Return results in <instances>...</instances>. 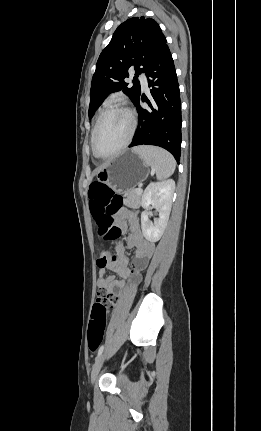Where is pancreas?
I'll return each instance as SVG.
<instances>
[{"label":"pancreas","mask_w":261,"mask_h":431,"mask_svg":"<svg viewBox=\"0 0 261 431\" xmlns=\"http://www.w3.org/2000/svg\"><path fill=\"white\" fill-rule=\"evenodd\" d=\"M123 197H124L123 203L127 207L138 208L142 204L141 202L142 192L138 193L137 189L127 191Z\"/></svg>","instance_id":"pancreas-1"}]
</instances>
